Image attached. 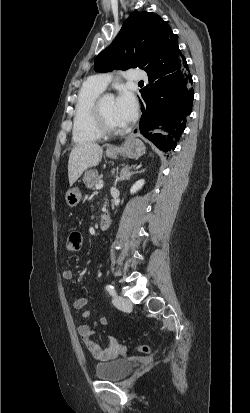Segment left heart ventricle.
Returning <instances> with one entry per match:
<instances>
[{"instance_id": "b2bd125f", "label": "left heart ventricle", "mask_w": 250, "mask_h": 413, "mask_svg": "<svg viewBox=\"0 0 250 413\" xmlns=\"http://www.w3.org/2000/svg\"><path fill=\"white\" fill-rule=\"evenodd\" d=\"M102 108L108 122L113 126L120 127L121 124L118 122L115 114V100L111 97L104 98Z\"/></svg>"}]
</instances>
